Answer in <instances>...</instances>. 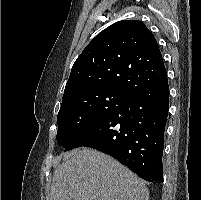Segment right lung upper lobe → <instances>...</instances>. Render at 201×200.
<instances>
[{"mask_svg": "<svg viewBox=\"0 0 201 200\" xmlns=\"http://www.w3.org/2000/svg\"><path fill=\"white\" fill-rule=\"evenodd\" d=\"M166 75L157 41L145 24L119 21L93 38L77 58L62 102L99 90L129 96Z\"/></svg>", "mask_w": 201, "mask_h": 200, "instance_id": "cb5924a9", "label": "right lung upper lobe"}]
</instances>
